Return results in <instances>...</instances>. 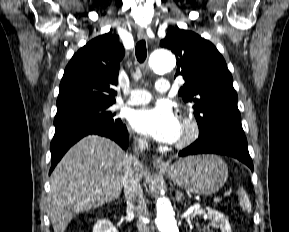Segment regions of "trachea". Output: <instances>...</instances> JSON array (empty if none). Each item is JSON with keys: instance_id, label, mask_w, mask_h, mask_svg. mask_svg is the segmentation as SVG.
I'll return each mask as SVG.
<instances>
[{"instance_id": "3493384b", "label": "trachea", "mask_w": 289, "mask_h": 232, "mask_svg": "<svg viewBox=\"0 0 289 232\" xmlns=\"http://www.w3.org/2000/svg\"><path fill=\"white\" fill-rule=\"evenodd\" d=\"M135 54H136L137 60L140 63H143L145 61L147 57V50H146V43L144 40H141L136 44Z\"/></svg>"}]
</instances>
